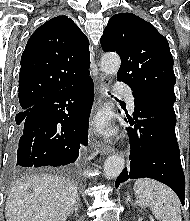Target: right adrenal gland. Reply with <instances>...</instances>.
<instances>
[{"label":"right adrenal gland","instance_id":"obj_1","mask_svg":"<svg viewBox=\"0 0 190 221\" xmlns=\"http://www.w3.org/2000/svg\"><path fill=\"white\" fill-rule=\"evenodd\" d=\"M79 208H80V197L78 196L71 212L73 213L75 211V213L77 214Z\"/></svg>","mask_w":190,"mask_h":221}]
</instances>
